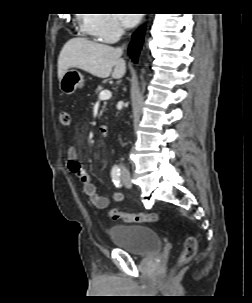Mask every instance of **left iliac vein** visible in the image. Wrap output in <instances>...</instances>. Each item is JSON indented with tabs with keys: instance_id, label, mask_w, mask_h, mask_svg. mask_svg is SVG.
<instances>
[{
	"instance_id": "left-iliac-vein-1",
	"label": "left iliac vein",
	"mask_w": 252,
	"mask_h": 303,
	"mask_svg": "<svg viewBox=\"0 0 252 303\" xmlns=\"http://www.w3.org/2000/svg\"><path fill=\"white\" fill-rule=\"evenodd\" d=\"M122 182H123L125 187H127V188L131 187V180H130L129 176L123 175L122 176Z\"/></svg>"
}]
</instances>
